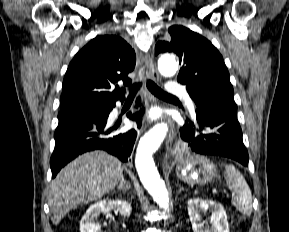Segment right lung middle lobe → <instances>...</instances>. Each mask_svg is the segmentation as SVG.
<instances>
[{"instance_id":"dd1d6c3e","label":"right lung middle lobe","mask_w":289,"mask_h":232,"mask_svg":"<svg viewBox=\"0 0 289 232\" xmlns=\"http://www.w3.org/2000/svg\"><path fill=\"white\" fill-rule=\"evenodd\" d=\"M103 108H80V109H71L63 110L58 114L59 120L75 119L81 117H88L91 115L97 114Z\"/></svg>"}]
</instances>
